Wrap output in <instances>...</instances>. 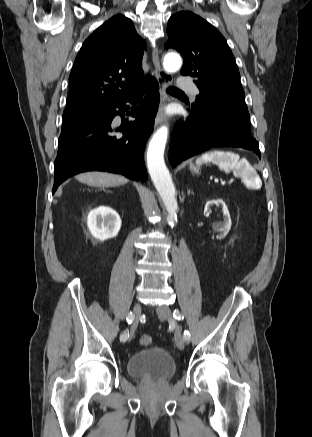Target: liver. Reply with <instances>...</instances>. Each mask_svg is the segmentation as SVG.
<instances>
[{
    "label": "liver",
    "instance_id": "1",
    "mask_svg": "<svg viewBox=\"0 0 312 437\" xmlns=\"http://www.w3.org/2000/svg\"><path fill=\"white\" fill-rule=\"evenodd\" d=\"M76 179L94 187H114L128 182L124 176L106 172H86L76 176Z\"/></svg>",
    "mask_w": 312,
    "mask_h": 437
}]
</instances>
